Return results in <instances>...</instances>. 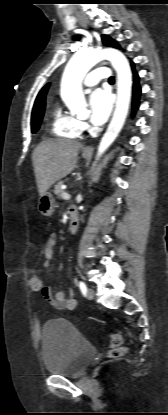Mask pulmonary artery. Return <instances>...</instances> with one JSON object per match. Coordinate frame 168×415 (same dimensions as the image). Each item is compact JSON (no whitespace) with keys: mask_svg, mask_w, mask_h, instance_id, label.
Returning a JSON list of instances; mask_svg holds the SVG:
<instances>
[{"mask_svg":"<svg viewBox=\"0 0 168 415\" xmlns=\"http://www.w3.org/2000/svg\"><path fill=\"white\" fill-rule=\"evenodd\" d=\"M109 77V71L105 67H99L91 71L84 79V84L86 86H94L100 80L107 79Z\"/></svg>","mask_w":168,"mask_h":415,"instance_id":"e3ab8cb5","label":"pulmonary artery"}]
</instances>
